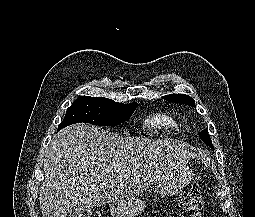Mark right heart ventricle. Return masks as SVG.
Returning <instances> with one entry per match:
<instances>
[{
  "mask_svg": "<svg viewBox=\"0 0 255 217\" xmlns=\"http://www.w3.org/2000/svg\"><path fill=\"white\" fill-rule=\"evenodd\" d=\"M147 125L156 130H169L177 125L176 119L168 113H155L147 120Z\"/></svg>",
  "mask_w": 255,
  "mask_h": 217,
  "instance_id": "right-heart-ventricle-1",
  "label": "right heart ventricle"
}]
</instances>
